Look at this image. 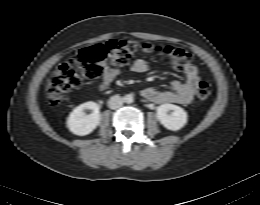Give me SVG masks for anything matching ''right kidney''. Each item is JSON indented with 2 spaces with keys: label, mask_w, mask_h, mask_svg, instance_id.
<instances>
[{
  "label": "right kidney",
  "mask_w": 260,
  "mask_h": 205,
  "mask_svg": "<svg viewBox=\"0 0 260 205\" xmlns=\"http://www.w3.org/2000/svg\"><path fill=\"white\" fill-rule=\"evenodd\" d=\"M92 110L91 114L86 115L84 110ZM101 115L99 106L95 102H86L76 107L67 119V127L69 130L79 136L90 134L99 124Z\"/></svg>",
  "instance_id": "obj_1"
}]
</instances>
